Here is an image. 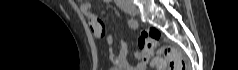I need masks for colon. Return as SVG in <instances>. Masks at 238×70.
Segmentation results:
<instances>
[{"label":"colon","mask_w":238,"mask_h":70,"mask_svg":"<svg viewBox=\"0 0 238 70\" xmlns=\"http://www.w3.org/2000/svg\"><path fill=\"white\" fill-rule=\"evenodd\" d=\"M160 33L156 29H145L141 32V43L145 52L152 55L157 50V56L152 60V66L157 70H165L167 63L170 70H186V64L179 52L171 47L164 46L157 49Z\"/></svg>","instance_id":"1"}]
</instances>
